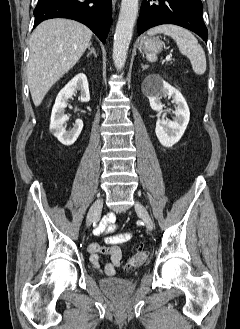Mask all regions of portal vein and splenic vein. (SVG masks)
Listing matches in <instances>:
<instances>
[{
    "label": "portal vein and splenic vein",
    "mask_w": 240,
    "mask_h": 329,
    "mask_svg": "<svg viewBox=\"0 0 240 329\" xmlns=\"http://www.w3.org/2000/svg\"><path fill=\"white\" fill-rule=\"evenodd\" d=\"M166 61H170L171 60V56L170 55H167L166 58H165Z\"/></svg>",
    "instance_id": "1"
}]
</instances>
